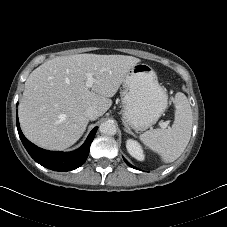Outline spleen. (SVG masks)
<instances>
[{"mask_svg":"<svg viewBox=\"0 0 227 227\" xmlns=\"http://www.w3.org/2000/svg\"><path fill=\"white\" fill-rule=\"evenodd\" d=\"M192 131V110L187 97L175 95V121L169 129H151L140 135L148 148L157 152L166 163L175 161L184 152Z\"/></svg>","mask_w":227,"mask_h":227,"instance_id":"1","label":"spleen"}]
</instances>
